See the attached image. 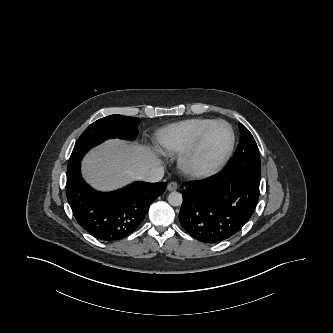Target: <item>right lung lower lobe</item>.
Here are the masks:
<instances>
[{"instance_id":"right-lung-lower-lobe-1","label":"right lung lower lobe","mask_w":333,"mask_h":333,"mask_svg":"<svg viewBox=\"0 0 333 333\" xmlns=\"http://www.w3.org/2000/svg\"><path fill=\"white\" fill-rule=\"evenodd\" d=\"M81 163L67 169L66 195L79 225L102 241H116L133 233L147 214L165 182H135L103 193L92 189L81 176Z\"/></svg>"}]
</instances>
